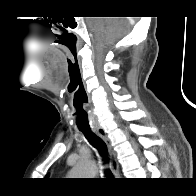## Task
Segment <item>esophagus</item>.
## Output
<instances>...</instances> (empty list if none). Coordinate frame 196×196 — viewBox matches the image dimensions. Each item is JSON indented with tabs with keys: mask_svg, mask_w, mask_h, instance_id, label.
Returning <instances> with one entry per match:
<instances>
[{
	"mask_svg": "<svg viewBox=\"0 0 196 196\" xmlns=\"http://www.w3.org/2000/svg\"><path fill=\"white\" fill-rule=\"evenodd\" d=\"M92 129L105 142V144H106V146L108 148V153H109V157H110V167H111V170H112V172L114 174V177L116 179H118L120 177L119 163L117 161V155H116L115 150L113 149V146L111 144V141H110L109 137L106 135L105 130L101 126H95Z\"/></svg>",
	"mask_w": 196,
	"mask_h": 196,
	"instance_id": "1",
	"label": "esophagus"
}]
</instances>
